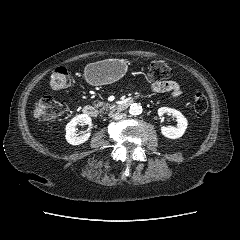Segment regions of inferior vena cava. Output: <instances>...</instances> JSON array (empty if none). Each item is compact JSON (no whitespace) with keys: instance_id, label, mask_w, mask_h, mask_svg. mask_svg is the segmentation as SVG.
Returning a JSON list of instances; mask_svg holds the SVG:
<instances>
[{"instance_id":"inferior-vena-cava-1","label":"inferior vena cava","mask_w":240,"mask_h":240,"mask_svg":"<svg viewBox=\"0 0 240 240\" xmlns=\"http://www.w3.org/2000/svg\"><path fill=\"white\" fill-rule=\"evenodd\" d=\"M112 118L114 120H121V119L126 118V114H124V113H114V114H112Z\"/></svg>"}]
</instances>
